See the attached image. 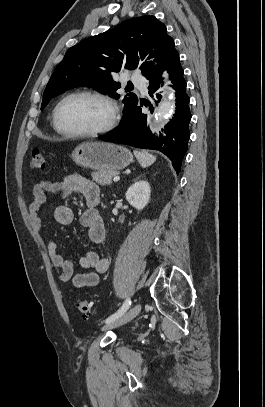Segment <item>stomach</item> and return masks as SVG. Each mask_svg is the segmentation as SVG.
<instances>
[{
	"mask_svg": "<svg viewBox=\"0 0 265 407\" xmlns=\"http://www.w3.org/2000/svg\"><path fill=\"white\" fill-rule=\"evenodd\" d=\"M71 158L85 168L115 172L133 161V155L127 148L108 142L82 143L74 149Z\"/></svg>",
	"mask_w": 265,
	"mask_h": 407,
	"instance_id": "obj_1",
	"label": "stomach"
}]
</instances>
